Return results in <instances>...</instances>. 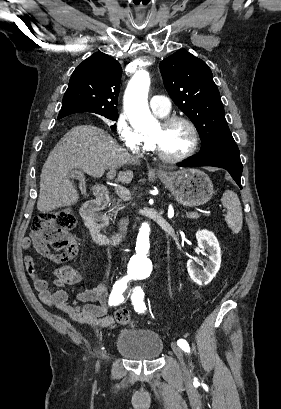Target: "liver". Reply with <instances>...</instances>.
Here are the masks:
<instances>
[{"instance_id":"1","label":"liver","mask_w":281,"mask_h":409,"mask_svg":"<svg viewBox=\"0 0 281 409\" xmlns=\"http://www.w3.org/2000/svg\"><path fill=\"white\" fill-rule=\"evenodd\" d=\"M122 164H139V158L121 150L116 138L103 128L92 124L74 126L60 138L42 166L38 211L49 213L78 202V190L70 180L73 168L100 178L106 168L116 170ZM133 176V170H125L119 172L118 180L125 184L131 182Z\"/></svg>"}]
</instances>
